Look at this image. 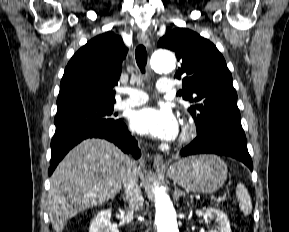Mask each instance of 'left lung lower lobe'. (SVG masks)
I'll return each instance as SVG.
<instances>
[{
  "mask_svg": "<svg viewBox=\"0 0 289 232\" xmlns=\"http://www.w3.org/2000/svg\"><path fill=\"white\" fill-rule=\"evenodd\" d=\"M181 156L195 154H219L233 157L253 170L251 157L247 150L244 130L238 126L218 127L197 137L181 150Z\"/></svg>",
  "mask_w": 289,
  "mask_h": 232,
  "instance_id": "1",
  "label": "left lung lower lobe"
}]
</instances>
